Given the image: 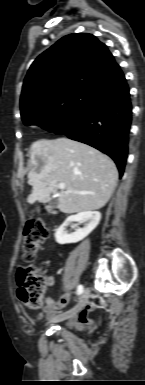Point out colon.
Returning <instances> with one entry per match:
<instances>
[{
    "label": "colon",
    "instance_id": "1",
    "mask_svg": "<svg viewBox=\"0 0 145 385\" xmlns=\"http://www.w3.org/2000/svg\"><path fill=\"white\" fill-rule=\"evenodd\" d=\"M48 234V228L42 221L32 220L27 223L21 240L25 262L31 263L35 260L39 245L48 237ZM16 282L19 300L30 309H40L49 288L47 276L38 267L28 266L19 269Z\"/></svg>",
    "mask_w": 145,
    "mask_h": 385
}]
</instances>
